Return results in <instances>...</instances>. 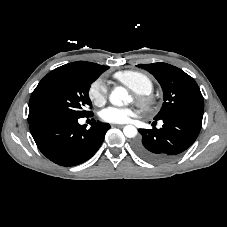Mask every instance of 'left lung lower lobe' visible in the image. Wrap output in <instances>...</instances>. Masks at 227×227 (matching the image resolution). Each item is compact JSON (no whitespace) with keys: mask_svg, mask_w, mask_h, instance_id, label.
<instances>
[{"mask_svg":"<svg viewBox=\"0 0 227 227\" xmlns=\"http://www.w3.org/2000/svg\"><path fill=\"white\" fill-rule=\"evenodd\" d=\"M160 129H139L142 138L135 142L134 151L146 161L165 163L189 148L196 140L202 116L176 114L162 119Z\"/></svg>","mask_w":227,"mask_h":227,"instance_id":"1","label":"left lung lower lobe"}]
</instances>
